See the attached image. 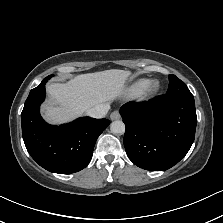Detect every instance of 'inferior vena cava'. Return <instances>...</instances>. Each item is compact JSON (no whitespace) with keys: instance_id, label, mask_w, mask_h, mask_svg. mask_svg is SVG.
<instances>
[{"instance_id":"1","label":"inferior vena cava","mask_w":223,"mask_h":223,"mask_svg":"<svg viewBox=\"0 0 223 223\" xmlns=\"http://www.w3.org/2000/svg\"><path fill=\"white\" fill-rule=\"evenodd\" d=\"M109 109L110 105L108 103L99 104L87 110V115L93 118H103L105 117Z\"/></svg>"}]
</instances>
